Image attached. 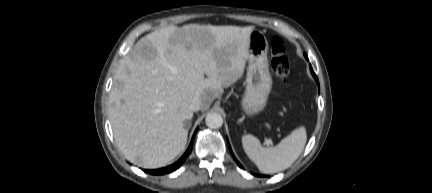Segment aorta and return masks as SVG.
<instances>
[{
	"label": "aorta",
	"instance_id": "762f6f07",
	"mask_svg": "<svg viewBox=\"0 0 432 193\" xmlns=\"http://www.w3.org/2000/svg\"><path fill=\"white\" fill-rule=\"evenodd\" d=\"M205 123L211 129H218L223 125V118L219 113H208L205 118Z\"/></svg>",
	"mask_w": 432,
	"mask_h": 193
}]
</instances>
